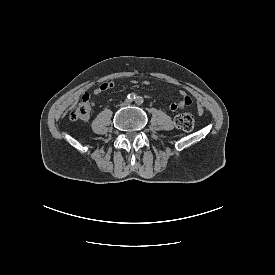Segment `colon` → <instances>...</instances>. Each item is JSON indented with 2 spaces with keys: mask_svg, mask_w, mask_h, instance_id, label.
I'll use <instances>...</instances> for the list:
<instances>
[{
  "mask_svg": "<svg viewBox=\"0 0 275 275\" xmlns=\"http://www.w3.org/2000/svg\"><path fill=\"white\" fill-rule=\"evenodd\" d=\"M90 99V94L85 93L80 102L69 111V119L74 121L86 119L90 114ZM175 125L183 131H191L195 125V116L189 112L182 113L175 118Z\"/></svg>",
  "mask_w": 275,
  "mask_h": 275,
  "instance_id": "1",
  "label": "colon"
}]
</instances>
